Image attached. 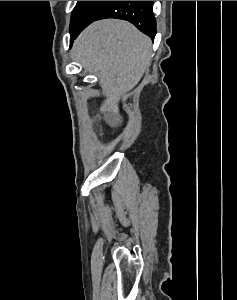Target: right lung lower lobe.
I'll use <instances>...</instances> for the list:
<instances>
[{"mask_svg": "<svg viewBox=\"0 0 237 300\" xmlns=\"http://www.w3.org/2000/svg\"><path fill=\"white\" fill-rule=\"evenodd\" d=\"M152 5L153 1H113L96 20L117 18L129 21L153 40L156 33V23ZM80 32L73 37V40Z\"/></svg>", "mask_w": 237, "mask_h": 300, "instance_id": "1", "label": "right lung lower lobe"}]
</instances>
